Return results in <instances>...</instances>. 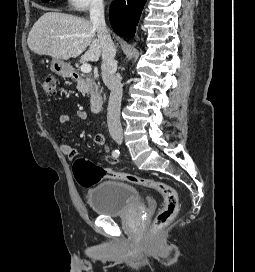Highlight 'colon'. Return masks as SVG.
<instances>
[{
  "mask_svg": "<svg viewBox=\"0 0 255 272\" xmlns=\"http://www.w3.org/2000/svg\"><path fill=\"white\" fill-rule=\"evenodd\" d=\"M41 88L47 96L54 97L56 94V76L54 74L45 75L41 80ZM73 174L76 181L83 187H91L103 179H115L158 191L163 196L164 203L153 221V231L167 226L178 213V194L172 186L166 183L106 169L87 158H79L74 162Z\"/></svg>",
  "mask_w": 255,
  "mask_h": 272,
  "instance_id": "obj_1",
  "label": "colon"
}]
</instances>
